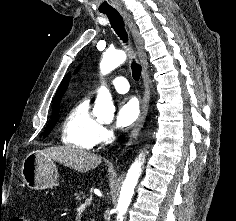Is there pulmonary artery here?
<instances>
[{"mask_svg": "<svg viewBox=\"0 0 236 221\" xmlns=\"http://www.w3.org/2000/svg\"><path fill=\"white\" fill-rule=\"evenodd\" d=\"M109 85L119 93H126L129 90V83L126 78L118 76L109 80Z\"/></svg>", "mask_w": 236, "mask_h": 221, "instance_id": "e3ab8cb5", "label": "pulmonary artery"}]
</instances>
